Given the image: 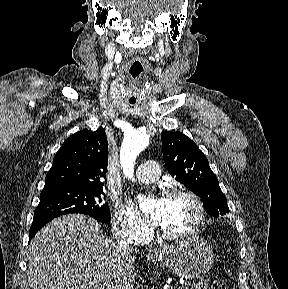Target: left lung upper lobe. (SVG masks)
I'll return each instance as SVG.
<instances>
[{"mask_svg": "<svg viewBox=\"0 0 288 289\" xmlns=\"http://www.w3.org/2000/svg\"><path fill=\"white\" fill-rule=\"evenodd\" d=\"M161 139L168 172L202 199L209 215L219 217L228 213L226 197L197 145L181 132H164Z\"/></svg>", "mask_w": 288, "mask_h": 289, "instance_id": "1", "label": "left lung upper lobe"}]
</instances>
